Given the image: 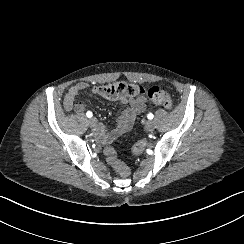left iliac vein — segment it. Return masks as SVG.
I'll return each instance as SVG.
<instances>
[{"label": "left iliac vein", "instance_id": "left-iliac-vein-1", "mask_svg": "<svg viewBox=\"0 0 244 244\" xmlns=\"http://www.w3.org/2000/svg\"><path fill=\"white\" fill-rule=\"evenodd\" d=\"M155 129V124L153 121H147L145 123V130L148 131V132H153Z\"/></svg>", "mask_w": 244, "mask_h": 244}]
</instances>
